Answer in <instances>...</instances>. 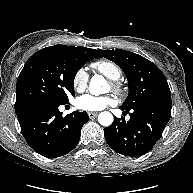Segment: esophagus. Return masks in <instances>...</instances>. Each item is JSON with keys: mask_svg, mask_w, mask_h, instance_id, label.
I'll use <instances>...</instances> for the list:
<instances>
[{"mask_svg": "<svg viewBox=\"0 0 193 193\" xmlns=\"http://www.w3.org/2000/svg\"><path fill=\"white\" fill-rule=\"evenodd\" d=\"M97 115H98V112H89L88 113V116L90 119L97 117Z\"/></svg>", "mask_w": 193, "mask_h": 193, "instance_id": "obj_1", "label": "esophagus"}]
</instances>
